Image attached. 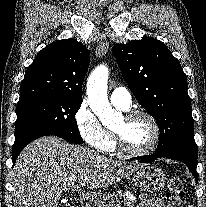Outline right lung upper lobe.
Segmentation results:
<instances>
[{
    "instance_id": "cb5924a9",
    "label": "right lung upper lobe",
    "mask_w": 206,
    "mask_h": 207,
    "mask_svg": "<svg viewBox=\"0 0 206 207\" xmlns=\"http://www.w3.org/2000/svg\"><path fill=\"white\" fill-rule=\"evenodd\" d=\"M89 54L82 43L72 38L49 44L27 68L19 100L41 95L81 100Z\"/></svg>"
}]
</instances>
